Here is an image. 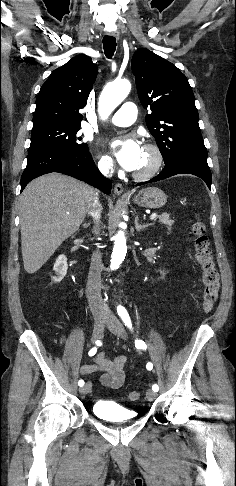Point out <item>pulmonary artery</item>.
<instances>
[{
  "label": "pulmonary artery",
  "mask_w": 236,
  "mask_h": 486,
  "mask_svg": "<svg viewBox=\"0 0 236 486\" xmlns=\"http://www.w3.org/2000/svg\"><path fill=\"white\" fill-rule=\"evenodd\" d=\"M137 118V107L133 102L124 103L112 116L110 123L120 127L130 126Z\"/></svg>",
  "instance_id": "pulmonary-artery-1"
}]
</instances>
